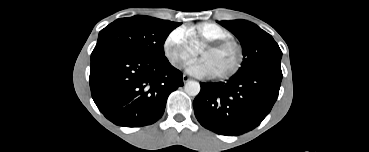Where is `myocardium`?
<instances>
[{"label":"myocardium","instance_id":"f54148a6","mask_svg":"<svg viewBox=\"0 0 369 152\" xmlns=\"http://www.w3.org/2000/svg\"><path fill=\"white\" fill-rule=\"evenodd\" d=\"M228 45H232L236 49V52H237L236 62L234 64V66L229 71H227L225 73H222V74H219V75H216V76H212V78L215 79V80H226V79H229V78L233 77L234 75H236L238 73V71L241 69L243 61H244L243 47L235 39L224 38V39L209 41L199 49V54H200L203 50H217L219 48H222V47H225V46H228Z\"/></svg>","mask_w":369,"mask_h":152}]
</instances>
